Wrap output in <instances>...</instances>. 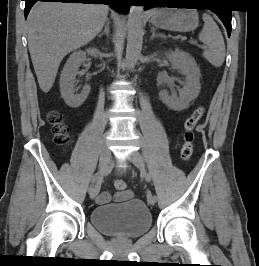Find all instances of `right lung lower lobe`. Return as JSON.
Here are the masks:
<instances>
[{"label":"right lung lower lobe","mask_w":259,"mask_h":266,"mask_svg":"<svg viewBox=\"0 0 259 266\" xmlns=\"http://www.w3.org/2000/svg\"><path fill=\"white\" fill-rule=\"evenodd\" d=\"M25 1V17H27L31 7L37 2H62V3H84V4H104L110 5L119 13L126 14L131 5L130 0H24Z\"/></svg>","instance_id":"obj_1"}]
</instances>
